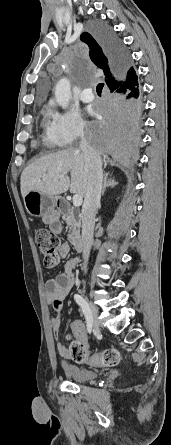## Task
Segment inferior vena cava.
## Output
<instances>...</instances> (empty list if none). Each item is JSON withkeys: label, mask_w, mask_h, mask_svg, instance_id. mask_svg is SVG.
I'll list each match as a JSON object with an SVG mask.
<instances>
[{"label": "inferior vena cava", "mask_w": 171, "mask_h": 445, "mask_svg": "<svg viewBox=\"0 0 171 445\" xmlns=\"http://www.w3.org/2000/svg\"><path fill=\"white\" fill-rule=\"evenodd\" d=\"M80 148L83 152L88 170V185L82 206V251L84 258L83 270L87 271V263L93 242L95 214L100 206L103 172L102 161L98 153L90 146L84 133L80 134Z\"/></svg>", "instance_id": "inferior-vena-cava-1"}]
</instances>
